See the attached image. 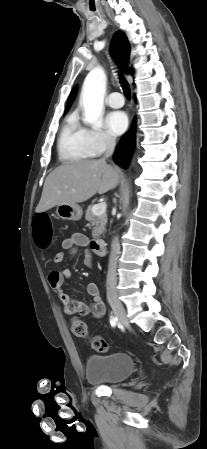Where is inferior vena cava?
Masks as SVG:
<instances>
[{
    "label": "inferior vena cava",
    "mask_w": 207,
    "mask_h": 449,
    "mask_svg": "<svg viewBox=\"0 0 207 449\" xmlns=\"http://www.w3.org/2000/svg\"><path fill=\"white\" fill-rule=\"evenodd\" d=\"M115 138L114 137H107L106 139V152L102 160H105L109 158L115 148ZM120 251V245L118 238L115 237L111 244V253L109 258V265H108V275H107V281H106V289H107V295L116 294V284H117V258Z\"/></svg>",
    "instance_id": "inferior-vena-cava-1"
}]
</instances>
